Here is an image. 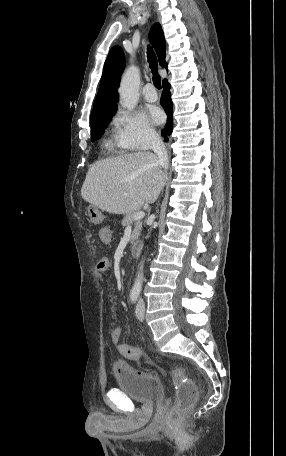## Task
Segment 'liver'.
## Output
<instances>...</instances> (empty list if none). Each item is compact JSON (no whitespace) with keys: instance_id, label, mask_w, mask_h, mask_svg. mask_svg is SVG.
<instances>
[{"instance_id":"obj_1","label":"liver","mask_w":286,"mask_h":456,"mask_svg":"<svg viewBox=\"0 0 286 456\" xmlns=\"http://www.w3.org/2000/svg\"><path fill=\"white\" fill-rule=\"evenodd\" d=\"M166 180L158 158L137 152L95 162L82 185L81 196L111 214H129L154 203Z\"/></svg>"}]
</instances>
